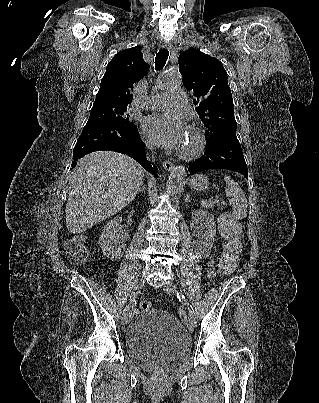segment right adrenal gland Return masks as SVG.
I'll use <instances>...</instances> for the list:
<instances>
[{
	"label": "right adrenal gland",
	"instance_id": "right-adrenal-gland-1",
	"mask_svg": "<svg viewBox=\"0 0 319 403\" xmlns=\"http://www.w3.org/2000/svg\"><path fill=\"white\" fill-rule=\"evenodd\" d=\"M137 192H138V193H139V192H145V187H144V183H143V182L141 183V186H140V188L138 189Z\"/></svg>",
	"mask_w": 319,
	"mask_h": 403
}]
</instances>
